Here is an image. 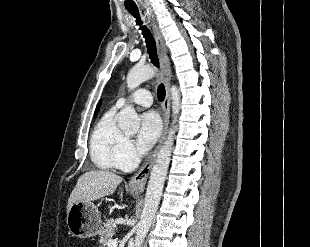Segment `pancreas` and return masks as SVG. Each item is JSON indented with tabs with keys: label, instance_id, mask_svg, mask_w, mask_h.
<instances>
[{
	"label": "pancreas",
	"instance_id": "pancreas-1",
	"mask_svg": "<svg viewBox=\"0 0 310 247\" xmlns=\"http://www.w3.org/2000/svg\"><path fill=\"white\" fill-rule=\"evenodd\" d=\"M117 231L116 224L112 219L107 220L104 224V227L100 231V239L99 244L100 247H104L108 244L109 241L112 240V236L115 235V232Z\"/></svg>",
	"mask_w": 310,
	"mask_h": 247
}]
</instances>
